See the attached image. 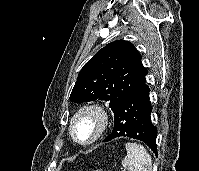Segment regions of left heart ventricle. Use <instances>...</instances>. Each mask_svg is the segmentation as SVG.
I'll return each instance as SVG.
<instances>
[{"mask_svg":"<svg viewBox=\"0 0 199 171\" xmlns=\"http://www.w3.org/2000/svg\"><path fill=\"white\" fill-rule=\"evenodd\" d=\"M97 129L96 119L92 115H83L75 123V134L81 141L90 140Z\"/></svg>","mask_w":199,"mask_h":171,"instance_id":"left-heart-ventricle-1","label":"left heart ventricle"}]
</instances>
